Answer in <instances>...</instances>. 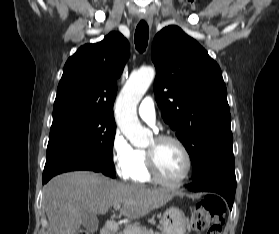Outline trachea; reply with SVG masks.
I'll use <instances>...</instances> for the list:
<instances>
[{
	"label": "trachea",
	"mask_w": 279,
	"mask_h": 234,
	"mask_svg": "<svg viewBox=\"0 0 279 234\" xmlns=\"http://www.w3.org/2000/svg\"><path fill=\"white\" fill-rule=\"evenodd\" d=\"M149 27L145 21H140L136 27L134 41L136 49L142 53L148 44Z\"/></svg>",
	"instance_id": "3493384b"
}]
</instances>
